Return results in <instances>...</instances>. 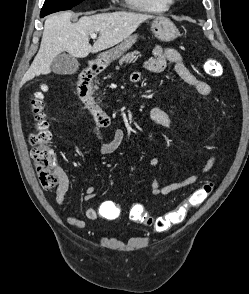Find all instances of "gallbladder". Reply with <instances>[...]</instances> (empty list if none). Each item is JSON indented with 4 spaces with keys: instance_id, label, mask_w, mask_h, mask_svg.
<instances>
[{
    "instance_id": "bac80fb5",
    "label": "gallbladder",
    "mask_w": 249,
    "mask_h": 294,
    "mask_svg": "<svg viewBox=\"0 0 249 294\" xmlns=\"http://www.w3.org/2000/svg\"><path fill=\"white\" fill-rule=\"evenodd\" d=\"M79 68V62L70 54L61 53L56 56L51 64V70L55 74L70 75L77 72Z\"/></svg>"
}]
</instances>
